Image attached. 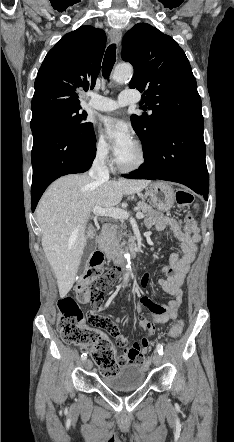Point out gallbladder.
<instances>
[{
	"mask_svg": "<svg viewBox=\"0 0 234 442\" xmlns=\"http://www.w3.org/2000/svg\"><path fill=\"white\" fill-rule=\"evenodd\" d=\"M95 241L94 239H89L87 241V244L84 248V252L81 258V262L78 268V275L81 276L85 270H86V266H87V262L91 256V254L93 253V251L95 250Z\"/></svg>",
	"mask_w": 234,
	"mask_h": 442,
	"instance_id": "bac80fb5",
	"label": "gallbladder"
}]
</instances>
